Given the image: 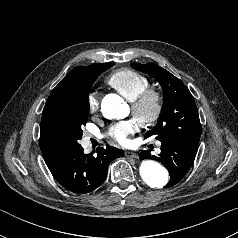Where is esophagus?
Listing matches in <instances>:
<instances>
[{"mask_svg":"<svg viewBox=\"0 0 238 238\" xmlns=\"http://www.w3.org/2000/svg\"><path fill=\"white\" fill-rule=\"evenodd\" d=\"M126 157H130V158H137L138 155L135 152L132 151H126L125 152Z\"/></svg>","mask_w":238,"mask_h":238,"instance_id":"obj_1","label":"esophagus"}]
</instances>
